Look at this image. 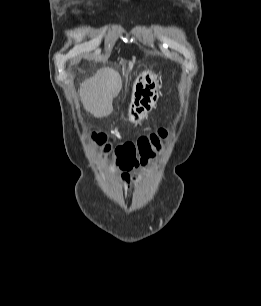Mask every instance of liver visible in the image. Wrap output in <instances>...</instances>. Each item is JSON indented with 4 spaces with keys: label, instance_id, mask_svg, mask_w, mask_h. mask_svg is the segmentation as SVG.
Instances as JSON below:
<instances>
[{
    "label": "liver",
    "instance_id": "6515ba94",
    "mask_svg": "<svg viewBox=\"0 0 261 306\" xmlns=\"http://www.w3.org/2000/svg\"><path fill=\"white\" fill-rule=\"evenodd\" d=\"M122 88L120 74L113 68H102L80 85V97L84 109L102 118L113 111V99Z\"/></svg>",
    "mask_w": 261,
    "mask_h": 306
}]
</instances>
